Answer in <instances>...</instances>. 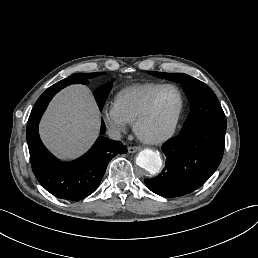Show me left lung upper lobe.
Masks as SVG:
<instances>
[{"mask_svg":"<svg viewBox=\"0 0 258 258\" xmlns=\"http://www.w3.org/2000/svg\"><path fill=\"white\" fill-rule=\"evenodd\" d=\"M159 78L180 83L191 103V111L181 129L187 132L200 125H215L226 128L223 109L212 91L205 83L183 73L149 72Z\"/></svg>","mask_w":258,"mask_h":258,"instance_id":"1","label":"left lung upper lobe"}]
</instances>
